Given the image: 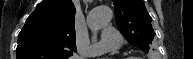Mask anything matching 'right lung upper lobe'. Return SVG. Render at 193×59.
<instances>
[{
  "instance_id": "cb5924a9",
  "label": "right lung upper lobe",
  "mask_w": 193,
  "mask_h": 59,
  "mask_svg": "<svg viewBox=\"0 0 193 59\" xmlns=\"http://www.w3.org/2000/svg\"><path fill=\"white\" fill-rule=\"evenodd\" d=\"M71 0H43L19 33L17 59H68L76 49Z\"/></svg>"
}]
</instances>
